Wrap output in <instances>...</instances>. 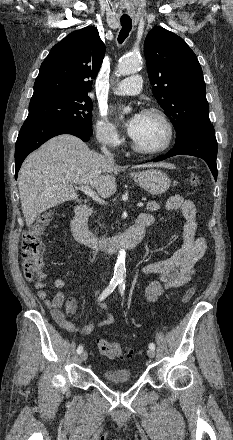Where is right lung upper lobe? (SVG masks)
Wrapping results in <instances>:
<instances>
[{
	"label": "right lung upper lobe",
	"mask_w": 233,
	"mask_h": 440,
	"mask_svg": "<svg viewBox=\"0 0 233 440\" xmlns=\"http://www.w3.org/2000/svg\"><path fill=\"white\" fill-rule=\"evenodd\" d=\"M105 45L88 26L57 43L42 62L30 103L52 98H84L101 67Z\"/></svg>",
	"instance_id": "right-lung-upper-lobe-1"
}]
</instances>
